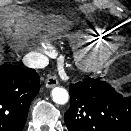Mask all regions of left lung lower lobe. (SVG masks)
Segmentation results:
<instances>
[{
	"instance_id": "1",
	"label": "left lung lower lobe",
	"mask_w": 131,
	"mask_h": 131,
	"mask_svg": "<svg viewBox=\"0 0 131 131\" xmlns=\"http://www.w3.org/2000/svg\"><path fill=\"white\" fill-rule=\"evenodd\" d=\"M65 113L69 131H131V96L124 97L101 78L70 84Z\"/></svg>"
}]
</instances>
